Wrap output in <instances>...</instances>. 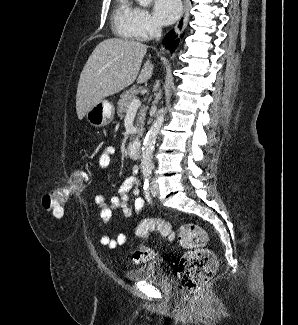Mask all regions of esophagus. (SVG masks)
<instances>
[{"mask_svg": "<svg viewBox=\"0 0 298 325\" xmlns=\"http://www.w3.org/2000/svg\"><path fill=\"white\" fill-rule=\"evenodd\" d=\"M189 11H190V4H189L188 0H186L184 11L181 14V16L175 26V29H174L175 33L180 34L183 32V30L186 27L188 20H189V16H190Z\"/></svg>", "mask_w": 298, "mask_h": 325, "instance_id": "obj_1", "label": "esophagus"}]
</instances>
